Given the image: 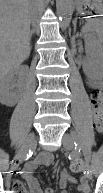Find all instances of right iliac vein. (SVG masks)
I'll use <instances>...</instances> for the list:
<instances>
[{
	"instance_id": "obj_1",
	"label": "right iliac vein",
	"mask_w": 103,
	"mask_h": 193,
	"mask_svg": "<svg viewBox=\"0 0 103 193\" xmlns=\"http://www.w3.org/2000/svg\"><path fill=\"white\" fill-rule=\"evenodd\" d=\"M34 143H35V135H34V133H32L26 138L22 147L20 148V150L16 154L14 161H13V164L11 166L12 170H16L19 167V164L23 160L27 151L34 145Z\"/></svg>"
}]
</instances>
